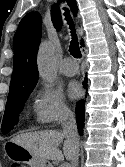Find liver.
Returning a JSON list of instances; mask_svg holds the SVG:
<instances>
[{
	"label": "liver",
	"mask_w": 125,
	"mask_h": 167,
	"mask_svg": "<svg viewBox=\"0 0 125 167\" xmlns=\"http://www.w3.org/2000/svg\"><path fill=\"white\" fill-rule=\"evenodd\" d=\"M45 160L63 161L64 157L71 160L73 144L71 140L56 130L21 133L11 140ZM63 152L58 146L63 143Z\"/></svg>",
	"instance_id": "liver-1"
}]
</instances>
